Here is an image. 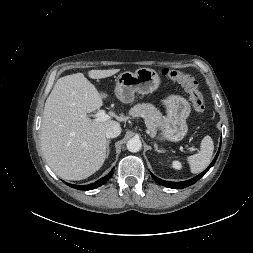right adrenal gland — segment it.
Segmentation results:
<instances>
[{"instance_id":"right-adrenal-gland-1","label":"right adrenal gland","mask_w":253,"mask_h":253,"mask_svg":"<svg viewBox=\"0 0 253 253\" xmlns=\"http://www.w3.org/2000/svg\"><path fill=\"white\" fill-rule=\"evenodd\" d=\"M110 141H111V140H108V141H107V155H106V157H108V156H109V153H110V147H109Z\"/></svg>"}]
</instances>
